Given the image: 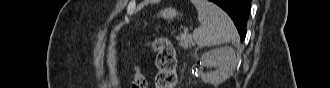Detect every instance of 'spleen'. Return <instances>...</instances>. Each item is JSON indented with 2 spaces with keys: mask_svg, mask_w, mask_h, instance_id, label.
I'll use <instances>...</instances> for the list:
<instances>
[{
  "mask_svg": "<svg viewBox=\"0 0 330 88\" xmlns=\"http://www.w3.org/2000/svg\"><path fill=\"white\" fill-rule=\"evenodd\" d=\"M192 3L202 25L193 31V39L199 47L237 41V30L230 17L220 7L207 0H192Z\"/></svg>",
  "mask_w": 330,
  "mask_h": 88,
  "instance_id": "obj_1",
  "label": "spleen"
}]
</instances>
